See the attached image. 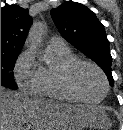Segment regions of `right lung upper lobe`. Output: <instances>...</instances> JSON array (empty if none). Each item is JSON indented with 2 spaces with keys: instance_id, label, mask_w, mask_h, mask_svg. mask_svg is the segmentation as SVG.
Wrapping results in <instances>:
<instances>
[{
  "instance_id": "1",
  "label": "right lung upper lobe",
  "mask_w": 123,
  "mask_h": 130,
  "mask_svg": "<svg viewBox=\"0 0 123 130\" xmlns=\"http://www.w3.org/2000/svg\"><path fill=\"white\" fill-rule=\"evenodd\" d=\"M32 18L28 15V9L17 5H9L1 8V53L20 52Z\"/></svg>"
}]
</instances>
